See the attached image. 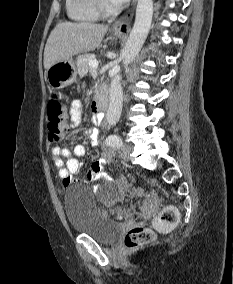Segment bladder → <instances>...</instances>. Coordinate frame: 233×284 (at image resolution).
Returning a JSON list of instances; mask_svg holds the SVG:
<instances>
[{
    "label": "bladder",
    "mask_w": 233,
    "mask_h": 284,
    "mask_svg": "<svg viewBox=\"0 0 233 284\" xmlns=\"http://www.w3.org/2000/svg\"><path fill=\"white\" fill-rule=\"evenodd\" d=\"M121 195L118 185H107L102 187L99 196L103 202H113ZM64 208L69 226L75 233L110 243L120 230L119 223L98 206L96 195L84 185H74L67 190Z\"/></svg>",
    "instance_id": "obj_1"
}]
</instances>
